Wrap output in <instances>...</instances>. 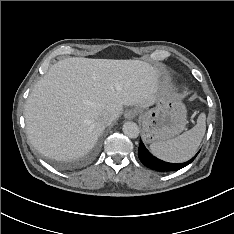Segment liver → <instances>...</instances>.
I'll return each mask as SVG.
<instances>
[{"instance_id":"6515ba94","label":"liver","mask_w":234,"mask_h":234,"mask_svg":"<svg viewBox=\"0 0 234 234\" xmlns=\"http://www.w3.org/2000/svg\"><path fill=\"white\" fill-rule=\"evenodd\" d=\"M159 70L141 60L67 58L52 65L25 104L28 138L39 153L57 160L90 151L107 125L104 112L119 117L123 106H151Z\"/></svg>"}]
</instances>
